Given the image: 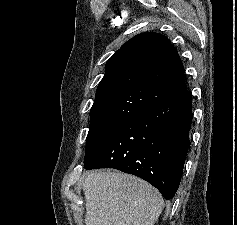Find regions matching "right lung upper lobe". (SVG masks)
Wrapping results in <instances>:
<instances>
[{"mask_svg":"<svg viewBox=\"0 0 237 225\" xmlns=\"http://www.w3.org/2000/svg\"><path fill=\"white\" fill-rule=\"evenodd\" d=\"M184 91V68L168 38L152 32L138 34L107 61L90 120H130Z\"/></svg>","mask_w":237,"mask_h":225,"instance_id":"cb5924a9","label":"right lung upper lobe"}]
</instances>
